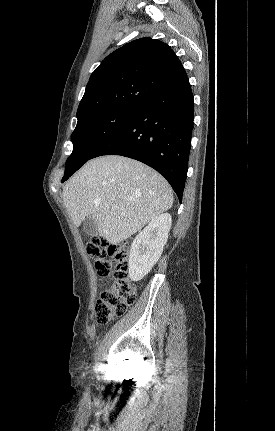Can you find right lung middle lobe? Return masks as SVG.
Listing matches in <instances>:
<instances>
[{"mask_svg": "<svg viewBox=\"0 0 275 431\" xmlns=\"http://www.w3.org/2000/svg\"><path fill=\"white\" fill-rule=\"evenodd\" d=\"M136 107H115L90 113L78 119L72 133L73 152L66 161L64 182L134 116Z\"/></svg>", "mask_w": 275, "mask_h": 431, "instance_id": "obj_1", "label": "right lung middle lobe"}]
</instances>
